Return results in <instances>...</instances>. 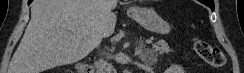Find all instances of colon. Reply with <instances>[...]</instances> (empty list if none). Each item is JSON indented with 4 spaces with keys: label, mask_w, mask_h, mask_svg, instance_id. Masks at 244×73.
Wrapping results in <instances>:
<instances>
[{
    "label": "colon",
    "mask_w": 244,
    "mask_h": 73,
    "mask_svg": "<svg viewBox=\"0 0 244 73\" xmlns=\"http://www.w3.org/2000/svg\"><path fill=\"white\" fill-rule=\"evenodd\" d=\"M192 44L197 55L210 66L217 69L225 66L226 57L219 47L199 37H194L192 39Z\"/></svg>",
    "instance_id": "obj_1"
}]
</instances>
